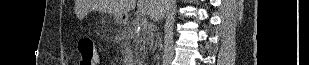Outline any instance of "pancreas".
Returning a JSON list of instances; mask_svg holds the SVG:
<instances>
[{
    "instance_id": "cf45deb5",
    "label": "pancreas",
    "mask_w": 309,
    "mask_h": 65,
    "mask_svg": "<svg viewBox=\"0 0 309 65\" xmlns=\"http://www.w3.org/2000/svg\"><path fill=\"white\" fill-rule=\"evenodd\" d=\"M141 20L135 19L131 25L128 27V36L133 42V53L135 55H143L147 51V46L151 44L150 33L147 28L140 29V32L137 34V27L140 26Z\"/></svg>"
}]
</instances>
